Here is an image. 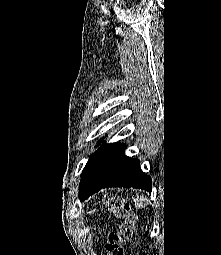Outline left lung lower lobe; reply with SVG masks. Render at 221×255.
I'll return each mask as SVG.
<instances>
[{"label": "left lung lower lobe", "mask_w": 221, "mask_h": 255, "mask_svg": "<svg viewBox=\"0 0 221 255\" xmlns=\"http://www.w3.org/2000/svg\"><path fill=\"white\" fill-rule=\"evenodd\" d=\"M125 144L112 143L99 148L81 175L80 200L108 187H134L151 192V178L142 172L137 159L125 156Z\"/></svg>", "instance_id": "0a47b994"}]
</instances>
